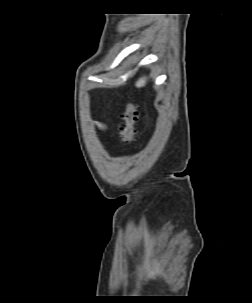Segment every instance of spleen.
I'll return each instance as SVG.
<instances>
[{
	"label": "spleen",
	"mask_w": 252,
	"mask_h": 303,
	"mask_svg": "<svg viewBox=\"0 0 252 303\" xmlns=\"http://www.w3.org/2000/svg\"><path fill=\"white\" fill-rule=\"evenodd\" d=\"M146 77H141L137 82H136V87L141 88L144 87L146 84Z\"/></svg>",
	"instance_id": "1"
}]
</instances>
